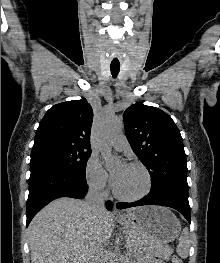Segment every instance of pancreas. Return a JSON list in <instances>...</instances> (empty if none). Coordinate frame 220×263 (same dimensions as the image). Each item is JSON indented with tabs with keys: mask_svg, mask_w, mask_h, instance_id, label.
Wrapping results in <instances>:
<instances>
[{
	"mask_svg": "<svg viewBox=\"0 0 220 263\" xmlns=\"http://www.w3.org/2000/svg\"><path fill=\"white\" fill-rule=\"evenodd\" d=\"M126 238L128 245L131 248H134L136 247V245H138L137 234L135 232L127 230ZM150 249L157 257L164 260H168L171 254L173 253V250L164 244H152Z\"/></svg>",
	"mask_w": 220,
	"mask_h": 263,
	"instance_id": "1",
	"label": "pancreas"
}]
</instances>
